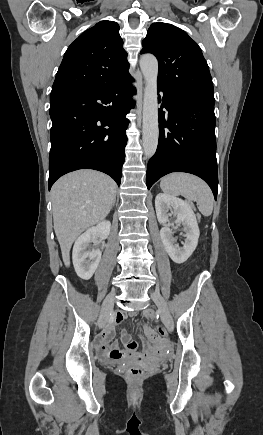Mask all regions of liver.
<instances>
[{"label":"liver","mask_w":263,"mask_h":435,"mask_svg":"<svg viewBox=\"0 0 263 435\" xmlns=\"http://www.w3.org/2000/svg\"><path fill=\"white\" fill-rule=\"evenodd\" d=\"M117 185L107 175L79 170L61 177L52 187L54 231L62 259L70 266V249L75 239L98 224L110 212Z\"/></svg>","instance_id":"obj_1"}]
</instances>
